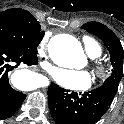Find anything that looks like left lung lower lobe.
<instances>
[{
	"label": "left lung lower lobe",
	"instance_id": "1",
	"mask_svg": "<svg viewBox=\"0 0 124 124\" xmlns=\"http://www.w3.org/2000/svg\"><path fill=\"white\" fill-rule=\"evenodd\" d=\"M108 86L78 95L52 83L48 87V103L56 124H95L109 109L115 96Z\"/></svg>",
	"mask_w": 124,
	"mask_h": 124
}]
</instances>
